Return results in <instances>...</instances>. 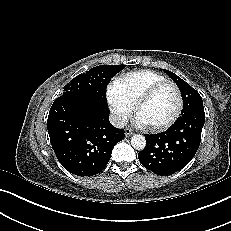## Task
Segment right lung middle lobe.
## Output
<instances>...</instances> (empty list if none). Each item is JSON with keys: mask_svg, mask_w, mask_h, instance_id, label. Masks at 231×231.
<instances>
[{"mask_svg": "<svg viewBox=\"0 0 231 231\" xmlns=\"http://www.w3.org/2000/svg\"><path fill=\"white\" fill-rule=\"evenodd\" d=\"M122 69L109 66L94 67L86 72V74L83 73L80 75L81 78H79V76L75 77L71 81V84H67L64 89L72 90L71 88H73L74 91L81 93L82 95L90 96L101 104L108 106L106 100V87L111 78Z\"/></svg>", "mask_w": 231, "mask_h": 231, "instance_id": "1", "label": "right lung middle lobe"}]
</instances>
